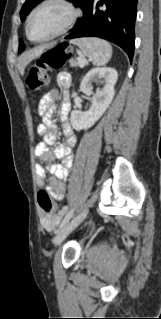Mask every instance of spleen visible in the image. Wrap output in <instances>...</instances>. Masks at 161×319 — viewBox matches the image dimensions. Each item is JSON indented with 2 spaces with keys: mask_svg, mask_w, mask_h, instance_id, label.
<instances>
[{
  "mask_svg": "<svg viewBox=\"0 0 161 319\" xmlns=\"http://www.w3.org/2000/svg\"><path fill=\"white\" fill-rule=\"evenodd\" d=\"M88 57L95 66H102L108 63L112 56L111 45L99 38H81L72 41Z\"/></svg>",
  "mask_w": 161,
  "mask_h": 319,
  "instance_id": "1",
  "label": "spleen"
}]
</instances>
